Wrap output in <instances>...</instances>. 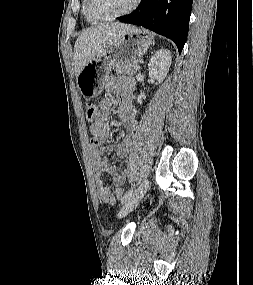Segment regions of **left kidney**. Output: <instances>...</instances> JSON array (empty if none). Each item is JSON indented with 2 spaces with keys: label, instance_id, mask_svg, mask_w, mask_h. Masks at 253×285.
Listing matches in <instances>:
<instances>
[{
  "label": "left kidney",
  "instance_id": "1",
  "mask_svg": "<svg viewBox=\"0 0 253 285\" xmlns=\"http://www.w3.org/2000/svg\"><path fill=\"white\" fill-rule=\"evenodd\" d=\"M171 52L168 49H161L157 51L148 63L149 76L156 79L159 83L165 79L170 65H171ZM137 102L142 104V96L139 95Z\"/></svg>",
  "mask_w": 253,
  "mask_h": 285
}]
</instances>
